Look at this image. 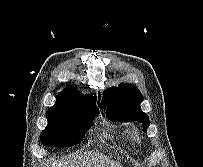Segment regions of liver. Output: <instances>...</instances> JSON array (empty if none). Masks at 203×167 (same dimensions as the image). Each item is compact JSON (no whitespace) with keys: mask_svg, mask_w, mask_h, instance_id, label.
Wrapping results in <instances>:
<instances>
[{"mask_svg":"<svg viewBox=\"0 0 203 167\" xmlns=\"http://www.w3.org/2000/svg\"><path fill=\"white\" fill-rule=\"evenodd\" d=\"M89 157V155H85L84 157L80 156L77 159L68 161L62 167H121L107 162V159L101 155L91 156V158ZM43 167H50V164L45 162Z\"/></svg>","mask_w":203,"mask_h":167,"instance_id":"6515ba94","label":"liver"}]
</instances>
